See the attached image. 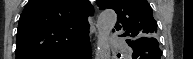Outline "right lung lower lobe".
Segmentation results:
<instances>
[{
	"mask_svg": "<svg viewBox=\"0 0 193 59\" xmlns=\"http://www.w3.org/2000/svg\"><path fill=\"white\" fill-rule=\"evenodd\" d=\"M57 59H91L89 39L85 40L80 45L76 46Z\"/></svg>",
	"mask_w": 193,
	"mask_h": 59,
	"instance_id": "98d812e1",
	"label": "right lung lower lobe"
}]
</instances>
